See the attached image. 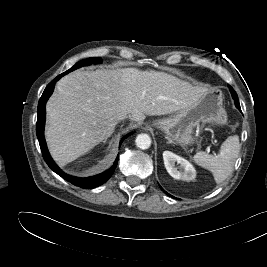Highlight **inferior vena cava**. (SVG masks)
Listing matches in <instances>:
<instances>
[{"label":"inferior vena cava","instance_id":"obj_1","mask_svg":"<svg viewBox=\"0 0 267 267\" xmlns=\"http://www.w3.org/2000/svg\"><path fill=\"white\" fill-rule=\"evenodd\" d=\"M127 116H119L118 119L119 120H122V119H125Z\"/></svg>","mask_w":267,"mask_h":267}]
</instances>
